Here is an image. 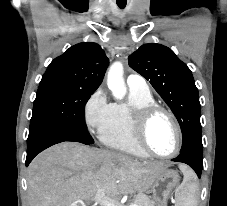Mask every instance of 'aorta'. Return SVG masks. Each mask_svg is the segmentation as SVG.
I'll list each match as a JSON object with an SVG mask.
<instances>
[{
  "label": "aorta",
  "mask_w": 227,
  "mask_h": 206,
  "mask_svg": "<svg viewBox=\"0 0 227 206\" xmlns=\"http://www.w3.org/2000/svg\"><path fill=\"white\" fill-rule=\"evenodd\" d=\"M107 86L111 90L113 96L121 100L126 95V85L123 79V65L115 62L108 71Z\"/></svg>",
  "instance_id": "1"
}]
</instances>
